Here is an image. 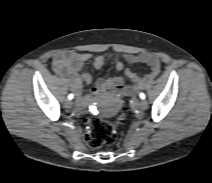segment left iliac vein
<instances>
[{
  "label": "left iliac vein",
  "mask_w": 212,
  "mask_h": 183,
  "mask_svg": "<svg viewBox=\"0 0 212 183\" xmlns=\"http://www.w3.org/2000/svg\"><path fill=\"white\" fill-rule=\"evenodd\" d=\"M147 106H148V102L145 99L140 101L139 107L141 110H145L147 108Z\"/></svg>",
  "instance_id": "left-iliac-vein-1"
}]
</instances>
